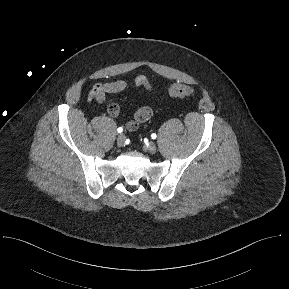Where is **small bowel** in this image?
I'll list each match as a JSON object with an SVG mask.
<instances>
[{"instance_id":"1","label":"small bowel","mask_w":289,"mask_h":289,"mask_svg":"<svg viewBox=\"0 0 289 289\" xmlns=\"http://www.w3.org/2000/svg\"><path fill=\"white\" fill-rule=\"evenodd\" d=\"M129 87H142L149 92L156 93L155 87L150 82L149 78L145 75H138L132 81L120 79L115 81L106 82L100 86L98 93L96 94V101L103 103L108 95H114L121 93ZM107 112L109 116L115 118L119 115V106L112 103L108 106ZM153 116V110L149 106L140 107L134 114L133 119L125 123V128L128 131H135L142 124L150 120Z\"/></svg>"}]
</instances>
